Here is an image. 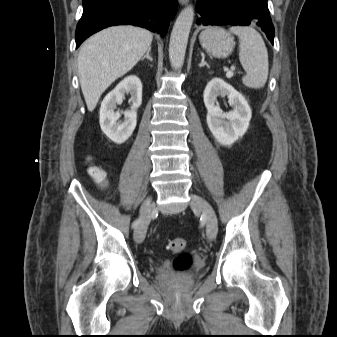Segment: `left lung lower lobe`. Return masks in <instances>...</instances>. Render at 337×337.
I'll use <instances>...</instances> for the list:
<instances>
[{
	"label": "left lung lower lobe",
	"mask_w": 337,
	"mask_h": 337,
	"mask_svg": "<svg viewBox=\"0 0 337 337\" xmlns=\"http://www.w3.org/2000/svg\"><path fill=\"white\" fill-rule=\"evenodd\" d=\"M196 11L201 15L198 25H256L273 44L274 27L267 0H198Z\"/></svg>",
	"instance_id": "0a47b994"
}]
</instances>
